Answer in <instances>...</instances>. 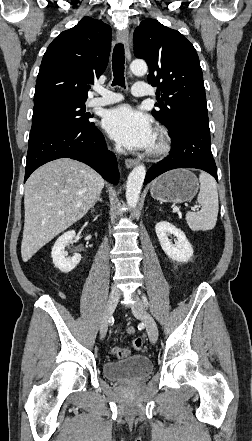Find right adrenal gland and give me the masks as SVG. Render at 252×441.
I'll use <instances>...</instances> for the list:
<instances>
[{
    "instance_id": "2a0ac1e0",
    "label": "right adrenal gland",
    "mask_w": 252,
    "mask_h": 441,
    "mask_svg": "<svg viewBox=\"0 0 252 441\" xmlns=\"http://www.w3.org/2000/svg\"><path fill=\"white\" fill-rule=\"evenodd\" d=\"M98 201L103 202V200L101 199V195H100V194L97 196L95 202H94L93 205H92V208H94L95 204H96Z\"/></svg>"
}]
</instances>
